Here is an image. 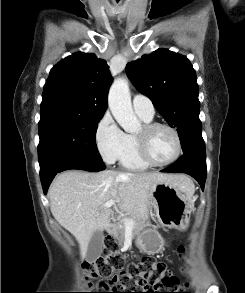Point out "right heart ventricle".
<instances>
[{"label":"right heart ventricle","mask_w":245,"mask_h":293,"mask_svg":"<svg viewBox=\"0 0 245 293\" xmlns=\"http://www.w3.org/2000/svg\"><path fill=\"white\" fill-rule=\"evenodd\" d=\"M139 116V115H138ZM145 123H150L152 119L139 116ZM120 164L123 168L131 171H142L150 166L144 163L138 155L136 140L134 135H128V146L126 151L120 157Z\"/></svg>","instance_id":"right-heart-ventricle-1"}]
</instances>
